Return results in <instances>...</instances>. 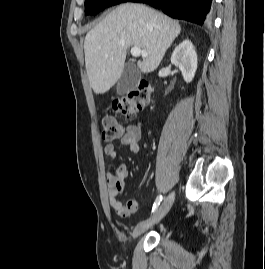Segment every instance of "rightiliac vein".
Listing matches in <instances>:
<instances>
[{
    "instance_id": "1",
    "label": "right iliac vein",
    "mask_w": 265,
    "mask_h": 269,
    "mask_svg": "<svg viewBox=\"0 0 265 269\" xmlns=\"http://www.w3.org/2000/svg\"><path fill=\"white\" fill-rule=\"evenodd\" d=\"M175 198V193L171 192L162 202L161 206L156 210V212L147 220L141 222L136 226L133 232V237L136 238L153 225L157 224L170 210Z\"/></svg>"
}]
</instances>
